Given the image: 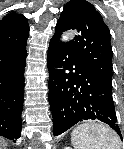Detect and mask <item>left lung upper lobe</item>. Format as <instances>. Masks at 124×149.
<instances>
[{
    "mask_svg": "<svg viewBox=\"0 0 124 149\" xmlns=\"http://www.w3.org/2000/svg\"><path fill=\"white\" fill-rule=\"evenodd\" d=\"M70 29L80 33L66 43L100 79L112 85L111 35L100 13L86 0H70L57 22L55 34Z\"/></svg>",
    "mask_w": 124,
    "mask_h": 149,
    "instance_id": "5c2ea615",
    "label": "left lung upper lobe"
}]
</instances>
